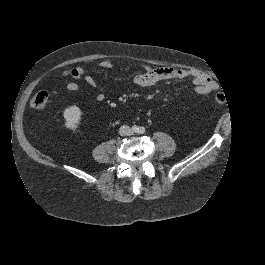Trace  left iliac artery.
<instances>
[{
  "instance_id": "44dca946",
  "label": "left iliac artery",
  "mask_w": 265,
  "mask_h": 265,
  "mask_svg": "<svg viewBox=\"0 0 265 265\" xmlns=\"http://www.w3.org/2000/svg\"><path fill=\"white\" fill-rule=\"evenodd\" d=\"M145 131H146V130H145V128H144V127H140V129H139V133H140V134H143V133H145Z\"/></svg>"
}]
</instances>
